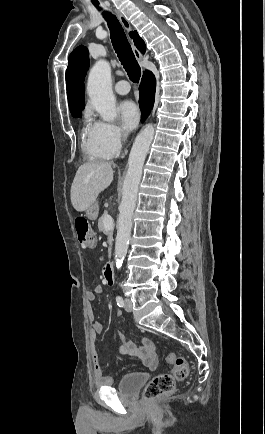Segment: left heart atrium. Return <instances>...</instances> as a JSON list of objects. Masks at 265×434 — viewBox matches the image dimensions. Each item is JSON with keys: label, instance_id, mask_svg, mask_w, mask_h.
<instances>
[{"label": "left heart atrium", "instance_id": "1", "mask_svg": "<svg viewBox=\"0 0 265 434\" xmlns=\"http://www.w3.org/2000/svg\"><path fill=\"white\" fill-rule=\"evenodd\" d=\"M118 110L123 128L127 131L134 129L140 117L137 105L132 101H124L120 104Z\"/></svg>", "mask_w": 265, "mask_h": 434}]
</instances>
